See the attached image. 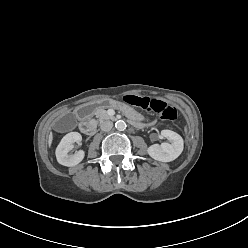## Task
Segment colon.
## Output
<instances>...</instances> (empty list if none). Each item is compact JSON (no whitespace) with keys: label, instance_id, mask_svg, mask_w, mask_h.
<instances>
[{"label":"colon","instance_id":"5ec220e1","mask_svg":"<svg viewBox=\"0 0 248 248\" xmlns=\"http://www.w3.org/2000/svg\"><path fill=\"white\" fill-rule=\"evenodd\" d=\"M128 100L129 103L137 105L145 111L158 114L164 120L173 122L177 119L175 108L160 99L148 97H129Z\"/></svg>","mask_w":248,"mask_h":248}]
</instances>
